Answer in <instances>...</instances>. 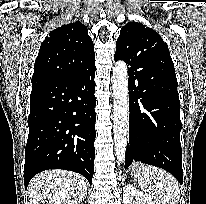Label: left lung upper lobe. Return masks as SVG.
Instances as JSON below:
<instances>
[{
  "label": "left lung upper lobe",
  "mask_w": 206,
  "mask_h": 204,
  "mask_svg": "<svg viewBox=\"0 0 206 204\" xmlns=\"http://www.w3.org/2000/svg\"><path fill=\"white\" fill-rule=\"evenodd\" d=\"M114 59L124 60L130 67H148L153 79L161 72H168L176 80L167 44L158 33L142 23L129 22L121 28Z\"/></svg>",
  "instance_id": "1"
}]
</instances>
